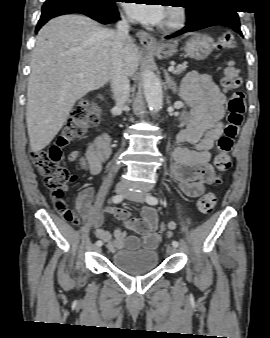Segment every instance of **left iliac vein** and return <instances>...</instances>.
Here are the masks:
<instances>
[{"instance_id": "4c4485c4", "label": "left iliac vein", "mask_w": 270, "mask_h": 338, "mask_svg": "<svg viewBox=\"0 0 270 338\" xmlns=\"http://www.w3.org/2000/svg\"><path fill=\"white\" fill-rule=\"evenodd\" d=\"M124 195H125V197L127 199L143 203L146 200L147 193L146 192H138V191H129V190H127V191H125ZM175 252H176V247H174V246H168L166 248L167 255H172Z\"/></svg>"}]
</instances>
